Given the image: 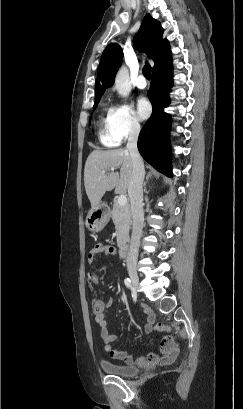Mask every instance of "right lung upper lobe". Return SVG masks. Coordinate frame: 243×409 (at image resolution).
Listing matches in <instances>:
<instances>
[{
  "label": "right lung upper lobe",
  "instance_id": "1",
  "mask_svg": "<svg viewBox=\"0 0 243 409\" xmlns=\"http://www.w3.org/2000/svg\"><path fill=\"white\" fill-rule=\"evenodd\" d=\"M163 28L160 22L147 14L138 33L134 37V46L143 50L155 62L154 67L170 53L167 39H162ZM123 61V52L117 43L109 44L101 56L97 69L95 98H101L106 88L114 84V79ZM153 67V68H154Z\"/></svg>",
  "mask_w": 243,
  "mask_h": 409
}]
</instances>
